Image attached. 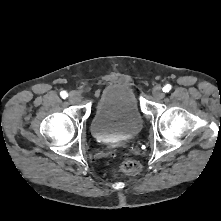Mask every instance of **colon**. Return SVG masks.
I'll use <instances>...</instances> for the list:
<instances>
[{
	"label": "colon",
	"instance_id": "1",
	"mask_svg": "<svg viewBox=\"0 0 221 221\" xmlns=\"http://www.w3.org/2000/svg\"><path fill=\"white\" fill-rule=\"evenodd\" d=\"M119 170L127 175H136L140 172L141 166L136 160L127 157L120 162Z\"/></svg>",
	"mask_w": 221,
	"mask_h": 221
}]
</instances>
